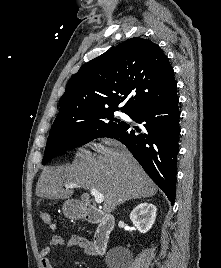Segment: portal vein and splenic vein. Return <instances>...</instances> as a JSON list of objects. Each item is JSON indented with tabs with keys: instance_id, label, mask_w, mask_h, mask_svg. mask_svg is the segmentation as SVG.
Listing matches in <instances>:
<instances>
[{
	"instance_id": "portal-vein-and-splenic-vein-1",
	"label": "portal vein and splenic vein",
	"mask_w": 221,
	"mask_h": 268,
	"mask_svg": "<svg viewBox=\"0 0 221 268\" xmlns=\"http://www.w3.org/2000/svg\"><path fill=\"white\" fill-rule=\"evenodd\" d=\"M65 187L76 188V187H79V185L78 184H66ZM90 193L92 196H94L96 203L100 204L104 201V195L100 193L97 189H91Z\"/></svg>"
}]
</instances>
